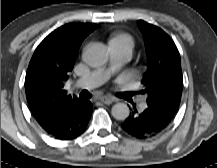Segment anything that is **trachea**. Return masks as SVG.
<instances>
[{
	"label": "trachea",
	"instance_id": "3493384b",
	"mask_svg": "<svg viewBox=\"0 0 217 168\" xmlns=\"http://www.w3.org/2000/svg\"><path fill=\"white\" fill-rule=\"evenodd\" d=\"M80 97H81V98H90V97H91V94H90L87 90H83V91L80 93Z\"/></svg>",
	"mask_w": 217,
	"mask_h": 168
}]
</instances>
